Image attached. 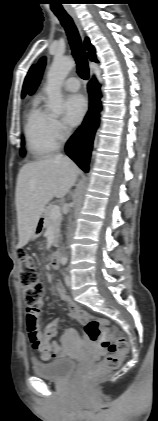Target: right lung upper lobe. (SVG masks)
I'll return each mask as SVG.
<instances>
[{
    "label": "right lung upper lobe",
    "instance_id": "right-lung-upper-lobe-1",
    "mask_svg": "<svg viewBox=\"0 0 158 421\" xmlns=\"http://www.w3.org/2000/svg\"><path fill=\"white\" fill-rule=\"evenodd\" d=\"M84 44H85L86 49L89 50L88 57L90 58V60L91 61H94V62H97V59H96V56H95V49L91 45V43H90V41H89L88 38L85 39ZM34 69H35V65H33L31 67V69L29 70V72H28V74H27V76L25 78L24 85H23V91H22V97L25 96V93H26L27 87L29 85V82L31 80V77L33 75Z\"/></svg>",
    "mask_w": 158,
    "mask_h": 421
}]
</instances>
